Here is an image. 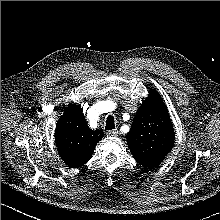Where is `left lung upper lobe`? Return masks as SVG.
I'll use <instances>...</instances> for the list:
<instances>
[{
    "label": "left lung upper lobe",
    "mask_w": 220,
    "mask_h": 220,
    "mask_svg": "<svg viewBox=\"0 0 220 220\" xmlns=\"http://www.w3.org/2000/svg\"><path fill=\"white\" fill-rule=\"evenodd\" d=\"M126 138L136 161L147 168L157 167L172 149L175 138L173 125L157 91H149Z\"/></svg>",
    "instance_id": "1"
}]
</instances>
